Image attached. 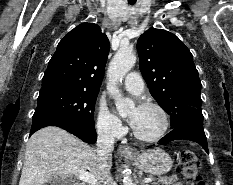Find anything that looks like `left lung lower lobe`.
<instances>
[{
	"instance_id": "obj_1",
	"label": "left lung lower lobe",
	"mask_w": 233,
	"mask_h": 185,
	"mask_svg": "<svg viewBox=\"0 0 233 185\" xmlns=\"http://www.w3.org/2000/svg\"><path fill=\"white\" fill-rule=\"evenodd\" d=\"M191 140L200 144L203 149L209 153L207 147V139L203 129V117H195L185 122L184 124L174 128L159 144H164L173 140Z\"/></svg>"
}]
</instances>
